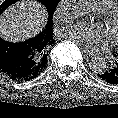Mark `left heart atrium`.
<instances>
[{
  "label": "left heart atrium",
  "mask_w": 118,
  "mask_h": 118,
  "mask_svg": "<svg viewBox=\"0 0 118 118\" xmlns=\"http://www.w3.org/2000/svg\"><path fill=\"white\" fill-rule=\"evenodd\" d=\"M64 36L88 51L108 48L114 39L107 27L87 23H76L64 29Z\"/></svg>",
  "instance_id": "1"
}]
</instances>
